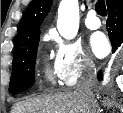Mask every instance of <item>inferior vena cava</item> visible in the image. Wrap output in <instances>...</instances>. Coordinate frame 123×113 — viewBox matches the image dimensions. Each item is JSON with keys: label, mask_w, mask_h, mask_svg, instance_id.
Listing matches in <instances>:
<instances>
[{"label": "inferior vena cava", "mask_w": 123, "mask_h": 113, "mask_svg": "<svg viewBox=\"0 0 123 113\" xmlns=\"http://www.w3.org/2000/svg\"><path fill=\"white\" fill-rule=\"evenodd\" d=\"M96 79V68L92 62H88L81 74L79 81L76 85L75 92L81 96L84 102L90 106L91 111L88 113H98L96 111L97 101L92 88L95 84Z\"/></svg>", "instance_id": "602c4592"}]
</instances>
